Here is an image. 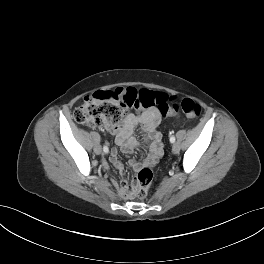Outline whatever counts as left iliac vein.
Returning a JSON list of instances; mask_svg holds the SVG:
<instances>
[{"instance_id":"4c4485c4","label":"left iliac vein","mask_w":264,"mask_h":264,"mask_svg":"<svg viewBox=\"0 0 264 264\" xmlns=\"http://www.w3.org/2000/svg\"><path fill=\"white\" fill-rule=\"evenodd\" d=\"M179 150H180L179 144L178 143H174L173 146H172V152L176 154V153L179 152Z\"/></svg>"}]
</instances>
